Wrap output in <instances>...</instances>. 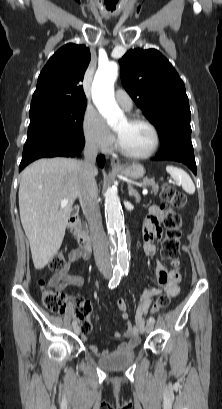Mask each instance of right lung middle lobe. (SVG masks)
Listing matches in <instances>:
<instances>
[{
	"label": "right lung middle lobe",
	"instance_id": "right-lung-middle-lobe-1",
	"mask_svg": "<svg viewBox=\"0 0 222 409\" xmlns=\"http://www.w3.org/2000/svg\"><path fill=\"white\" fill-rule=\"evenodd\" d=\"M86 103L44 105L30 109L22 158L38 153H64L85 143L82 122Z\"/></svg>",
	"mask_w": 222,
	"mask_h": 409
}]
</instances>
